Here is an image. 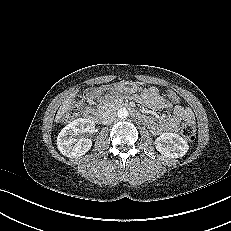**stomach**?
Listing matches in <instances>:
<instances>
[{"label":"stomach","instance_id":"0dacf381","mask_svg":"<svg viewBox=\"0 0 231 231\" xmlns=\"http://www.w3.org/2000/svg\"><path fill=\"white\" fill-rule=\"evenodd\" d=\"M118 90L125 93H135L139 90V86L133 81H122L118 86Z\"/></svg>","mask_w":231,"mask_h":231}]
</instances>
